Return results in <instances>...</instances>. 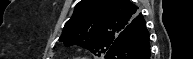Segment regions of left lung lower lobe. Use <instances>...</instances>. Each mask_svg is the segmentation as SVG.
Masks as SVG:
<instances>
[{"instance_id": "0a47b994", "label": "left lung lower lobe", "mask_w": 193, "mask_h": 59, "mask_svg": "<svg viewBox=\"0 0 193 59\" xmlns=\"http://www.w3.org/2000/svg\"><path fill=\"white\" fill-rule=\"evenodd\" d=\"M149 32L143 16L130 24L107 51L106 59H150Z\"/></svg>"}]
</instances>
